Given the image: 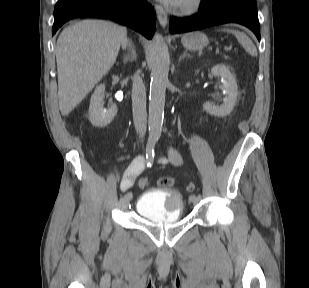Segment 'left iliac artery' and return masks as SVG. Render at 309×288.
<instances>
[{
	"label": "left iliac artery",
	"mask_w": 309,
	"mask_h": 288,
	"mask_svg": "<svg viewBox=\"0 0 309 288\" xmlns=\"http://www.w3.org/2000/svg\"><path fill=\"white\" fill-rule=\"evenodd\" d=\"M195 198H196V196H195V195H191V196H190V199H195ZM197 198L201 199V196H200V195H198V196H197Z\"/></svg>",
	"instance_id": "left-iliac-artery-1"
}]
</instances>
